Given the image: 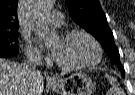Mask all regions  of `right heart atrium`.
<instances>
[{
    "label": "right heart atrium",
    "mask_w": 135,
    "mask_h": 95,
    "mask_svg": "<svg viewBox=\"0 0 135 95\" xmlns=\"http://www.w3.org/2000/svg\"><path fill=\"white\" fill-rule=\"evenodd\" d=\"M26 54L29 58H41L42 57L40 50L29 41L26 44Z\"/></svg>",
    "instance_id": "d8ad5b80"
}]
</instances>
